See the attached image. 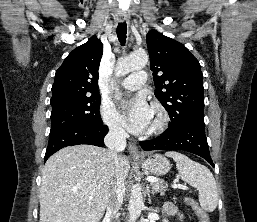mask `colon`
<instances>
[{
  "mask_svg": "<svg viewBox=\"0 0 257 222\" xmlns=\"http://www.w3.org/2000/svg\"><path fill=\"white\" fill-rule=\"evenodd\" d=\"M196 214L199 218V222H210L208 214L201 208H196Z\"/></svg>",
  "mask_w": 257,
  "mask_h": 222,
  "instance_id": "1",
  "label": "colon"
}]
</instances>
